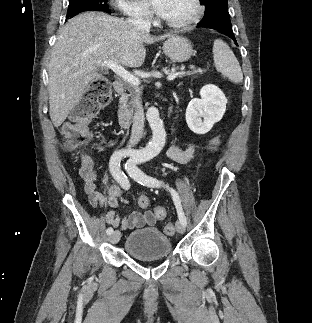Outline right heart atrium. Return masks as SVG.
Listing matches in <instances>:
<instances>
[{
	"label": "right heart atrium",
	"mask_w": 312,
	"mask_h": 323,
	"mask_svg": "<svg viewBox=\"0 0 312 323\" xmlns=\"http://www.w3.org/2000/svg\"><path fill=\"white\" fill-rule=\"evenodd\" d=\"M106 5H110L117 13H124L125 17H151V10H141V6H135V2L106 0Z\"/></svg>",
	"instance_id": "right-heart-atrium-1"
}]
</instances>
